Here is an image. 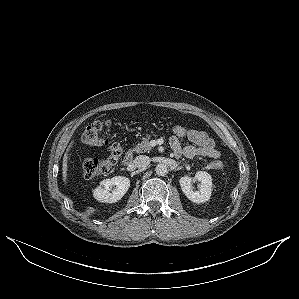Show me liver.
I'll return each instance as SVG.
<instances>
[{
    "label": "liver",
    "instance_id": "6515ba94",
    "mask_svg": "<svg viewBox=\"0 0 299 299\" xmlns=\"http://www.w3.org/2000/svg\"><path fill=\"white\" fill-rule=\"evenodd\" d=\"M73 145V141L69 145V148L67 149V152L64 154L63 157V164H62V177H63V182L66 184L67 182V171H68V152L70 151V148Z\"/></svg>",
    "mask_w": 299,
    "mask_h": 299
}]
</instances>
